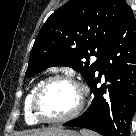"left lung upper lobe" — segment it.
<instances>
[{
  "label": "left lung upper lobe",
  "instance_id": "obj_1",
  "mask_svg": "<svg viewBox=\"0 0 136 136\" xmlns=\"http://www.w3.org/2000/svg\"><path fill=\"white\" fill-rule=\"evenodd\" d=\"M130 6L124 0H70L44 23L31 50L26 74L69 66L89 83L101 55ZM90 56H96L91 61Z\"/></svg>",
  "mask_w": 136,
  "mask_h": 136
}]
</instances>
